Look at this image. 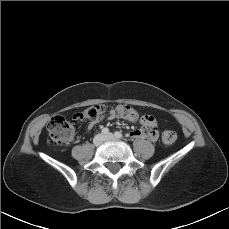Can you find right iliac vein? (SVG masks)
Segmentation results:
<instances>
[{"instance_id": "right-iliac-vein-1", "label": "right iliac vein", "mask_w": 229, "mask_h": 229, "mask_svg": "<svg viewBox=\"0 0 229 229\" xmlns=\"http://www.w3.org/2000/svg\"><path fill=\"white\" fill-rule=\"evenodd\" d=\"M104 140H105L104 135L98 134L94 137L93 143H94V145L99 146L103 143Z\"/></svg>"}]
</instances>
